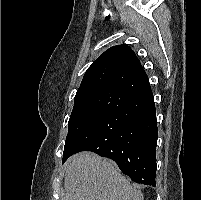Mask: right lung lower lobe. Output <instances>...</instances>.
Here are the masks:
<instances>
[{"mask_svg":"<svg viewBox=\"0 0 201 200\" xmlns=\"http://www.w3.org/2000/svg\"><path fill=\"white\" fill-rule=\"evenodd\" d=\"M158 128L151 90L112 110L79 132L67 145L65 162L79 151L114 160L134 182L156 186Z\"/></svg>","mask_w":201,"mask_h":200,"instance_id":"98d812e1","label":"right lung lower lobe"}]
</instances>
